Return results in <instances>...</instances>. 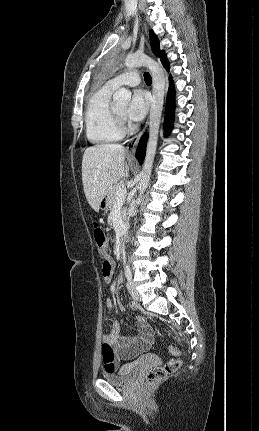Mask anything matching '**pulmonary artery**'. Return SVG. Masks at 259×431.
<instances>
[{"instance_id":"pulmonary-artery-1","label":"pulmonary artery","mask_w":259,"mask_h":431,"mask_svg":"<svg viewBox=\"0 0 259 431\" xmlns=\"http://www.w3.org/2000/svg\"><path fill=\"white\" fill-rule=\"evenodd\" d=\"M140 83V74L138 71L133 70L126 73H123L119 76H116L109 80L107 84L113 88H117L121 85H127V86H136Z\"/></svg>"}]
</instances>
